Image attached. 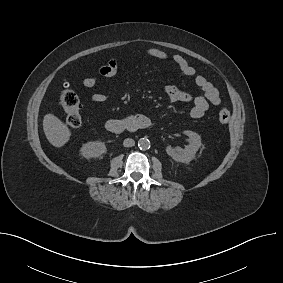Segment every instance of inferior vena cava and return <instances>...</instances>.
Listing matches in <instances>:
<instances>
[{
    "label": "inferior vena cava",
    "mask_w": 283,
    "mask_h": 283,
    "mask_svg": "<svg viewBox=\"0 0 283 283\" xmlns=\"http://www.w3.org/2000/svg\"><path fill=\"white\" fill-rule=\"evenodd\" d=\"M123 145H124V147H133L135 145V141L131 138H126L123 141Z\"/></svg>",
    "instance_id": "inferior-vena-cava-1"
}]
</instances>
